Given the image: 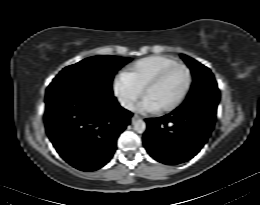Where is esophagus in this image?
Instances as JSON below:
<instances>
[{"instance_id":"obj_1","label":"esophagus","mask_w":260,"mask_h":205,"mask_svg":"<svg viewBox=\"0 0 260 205\" xmlns=\"http://www.w3.org/2000/svg\"><path fill=\"white\" fill-rule=\"evenodd\" d=\"M139 119H142V117H141L140 115H138V114H134V115L132 116V122H133V123H134L135 121L139 120Z\"/></svg>"}]
</instances>
